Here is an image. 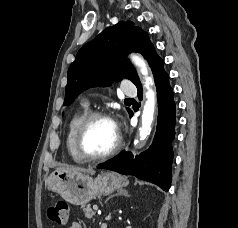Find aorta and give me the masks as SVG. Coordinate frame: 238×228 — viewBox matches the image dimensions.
Returning a JSON list of instances; mask_svg holds the SVG:
<instances>
[{
  "instance_id": "762f6f07",
  "label": "aorta",
  "mask_w": 238,
  "mask_h": 228,
  "mask_svg": "<svg viewBox=\"0 0 238 228\" xmlns=\"http://www.w3.org/2000/svg\"><path fill=\"white\" fill-rule=\"evenodd\" d=\"M130 58L134 65L139 69L140 73L144 77L145 87L147 89L145 96L146 101L142 113V126L139 129V140H145L151 132L152 123L154 119V111H155V104H156V93L152 89L153 87V80L151 77L148 76V66L146 61L139 55L131 54ZM138 140H135L134 144H136Z\"/></svg>"
}]
</instances>
